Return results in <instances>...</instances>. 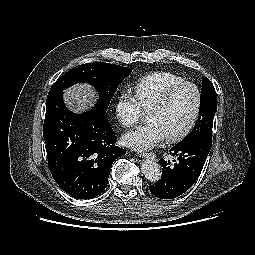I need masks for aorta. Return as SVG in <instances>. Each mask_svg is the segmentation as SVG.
Masks as SVG:
<instances>
[{"label":"aorta","mask_w":255,"mask_h":255,"mask_svg":"<svg viewBox=\"0 0 255 255\" xmlns=\"http://www.w3.org/2000/svg\"><path fill=\"white\" fill-rule=\"evenodd\" d=\"M141 171L152 182L158 181L162 174L159 164L152 159H146L141 163Z\"/></svg>","instance_id":"1"}]
</instances>
